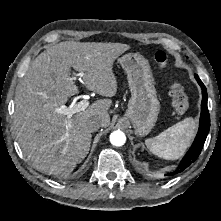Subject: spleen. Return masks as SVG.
I'll use <instances>...</instances> for the list:
<instances>
[{
  "mask_svg": "<svg viewBox=\"0 0 221 221\" xmlns=\"http://www.w3.org/2000/svg\"><path fill=\"white\" fill-rule=\"evenodd\" d=\"M195 129L193 118H185L156 137L146 139L145 144L154 155L166 160H175L189 147L195 135Z\"/></svg>",
  "mask_w": 221,
  "mask_h": 221,
  "instance_id": "obj_1",
  "label": "spleen"
}]
</instances>
